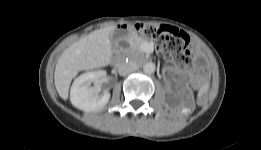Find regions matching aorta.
I'll return each instance as SVG.
<instances>
[{
    "label": "aorta",
    "mask_w": 261,
    "mask_h": 150,
    "mask_svg": "<svg viewBox=\"0 0 261 150\" xmlns=\"http://www.w3.org/2000/svg\"><path fill=\"white\" fill-rule=\"evenodd\" d=\"M155 69H156V66H155V64L152 63V62L146 63V64L144 65V67H143L144 72H145V73H148V74L153 73V72L155 71Z\"/></svg>",
    "instance_id": "1"
}]
</instances>
